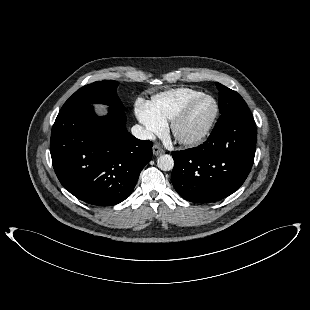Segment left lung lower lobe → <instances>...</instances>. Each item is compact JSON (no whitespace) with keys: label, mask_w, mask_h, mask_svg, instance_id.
Instances as JSON below:
<instances>
[{"label":"left lung lower lobe","mask_w":310,"mask_h":310,"mask_svg":"<svg viewBox=\"0 0 310 310\" xmlns=\"http://www.w3.org/2000/svg\"><path fill=\"white\" fill-rule=\"evenodd\" d=\"M255 147L251 112L215 125L203 145L172 153V184L190 202L221 200L244 183L253 165Z\"/></svg>","instance_id":"left-lung-lower-lobe-1"}]
</instances>
